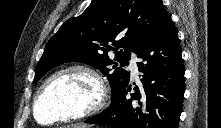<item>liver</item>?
<instances>
[{
	"mask_svg": "<svg viewBox=\"0 0 221 128\" xmlns=\"http://www.w3.org/2000/svg\"><path fill=\"white\" fill-rule=\"evenodd\" d=\"M72 128H87V126L86 125L77 124V125H73Z\"/></svg>",
	"mask_w": 221,
	"mask_h": 128,
	"instance_id": "6515ba94",
	"label": "liver"
}]
</instances>
